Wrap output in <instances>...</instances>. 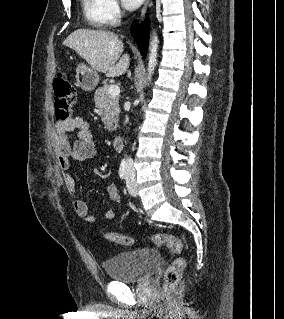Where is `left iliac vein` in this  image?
<instances>
[{"mask_svg": "<svg viewBox=\"0 0 284 319\" xmlns=\"http://www.w3.org/2000/svg\"><path fill=\"white\" fill-rule=\"evenodd\" d=\"M126 185H127L129 193L134 197L137 196L135 176L130 168L128 169V172L126 175Z\"/></svg>", "mask_w": 284, "mask_h": 319, "instance_id": "4c4485c4", "label": "left iliac vein"}]
</instances>
